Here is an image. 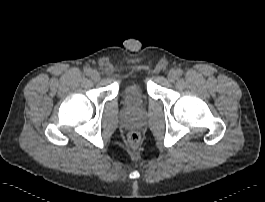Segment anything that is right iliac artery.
I'll return each instance as SVG.
<instances>
[{
    "label": "right iliac artery",
    "mask_w": 265,
    "mask_h": 202,
    "mask_svg": "<svg viewBox=\"0 0 265 202\" xmlns=\"http://www.w3.org/2000/svg\"><path fill=\"white\" fill-rule=\"evenodd\" d=\"M91 72H92V70H91L90 68H85V69H84V74H85V75H90Z\"/></svg>",
    "instance_id": "right-iliac-artery-1"
}]
</instances>
